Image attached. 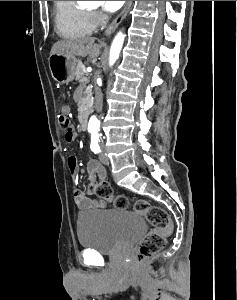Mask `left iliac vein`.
<instances>
[{
    "instance_id": "obj_1",
    "label": "left iliac vein",
    "mask_w": 237,
    "mask_h": 300,
    "mask_svg": "<svg viewBox=\"0 0 237 300\" xmlns=\"http://www.w3.org/2000/svg\"><path fill=\"white\" fill-rule=\"evenodd\" d=\"M102 147L104 148V145H102ZM99 160H100L103 164H109V159L107 158L105 152H102V153L99 155Z\"/></svg>"
}]
</instances>
